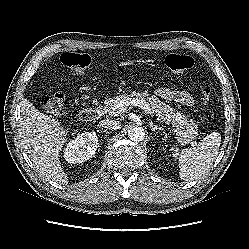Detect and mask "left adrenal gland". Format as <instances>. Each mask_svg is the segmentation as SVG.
Wrapping results in <instances>:
<instances>
[{
	"instance_id": "1",
	"label": "left adrenal gland",
	"mask_w": 249,
	"mask_h": 249,
	"mask_svg": "<svg viewBox=\"0 0 249 249\" xmlns=\"http://www.w3.org/2000/svg\"><path fill=\"white\" fill-rule=\"evenodd\" d=\"M149 125L152 128V131L155 132L156 130H163V127L155 125L152 121H149Z\"/></svg>"
}]
</instances>
